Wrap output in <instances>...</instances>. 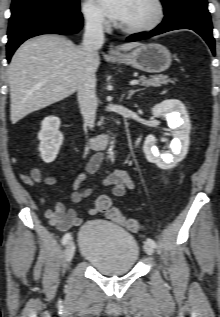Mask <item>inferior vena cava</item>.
Listing matches in <instances>:
<instances>
[{
	"mask_svg": "<svg viewBox=\"0 0 220 317\" xmlns=\"http://www.w3.org/2000/svg\"><path fill=\"white\" fill-rule=\"evenodd\" d=\"M103 17L97 14L86 18L82 49L85 53V64L78 84V101L85 125L94 127L97 110L96 76L94 59L104 43Z\"/></svg>",
	"mask_w": 220,
	"mask_h": 317,
	"instance_id": "inferior-vena-cava-1",
	"label": "inferior vena cava"
}]
</instances>
